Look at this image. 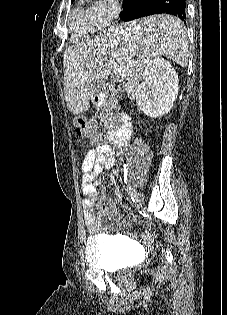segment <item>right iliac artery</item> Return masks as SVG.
Listing matches in <instances>:
<instances>
[{"instance_id":"1","label":"right iliac artery","mask_w":227,"mask_h":315,"mask_svg":"<svg viewBox=\"0 0 227 315\" xmlns=\"http://www.w3.org/2000/svg\"><path fill=\"white\" fill-rule=\"evenodd\" d=\"M125 190L127 191V193L129 194L133 201L137 198L138 194L131 186L125 187Z\"/></svg>"}]
</instances>
